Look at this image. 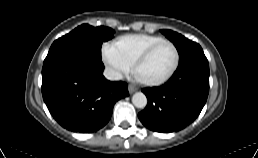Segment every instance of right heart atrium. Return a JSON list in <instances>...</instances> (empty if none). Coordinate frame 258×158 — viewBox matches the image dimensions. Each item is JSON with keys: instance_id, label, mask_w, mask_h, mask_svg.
<instances>
[{"instance_id": "1", "label": "right heart atrium", "mask_w": 258, "mask_h": 158, "mask_svg": "<svg viewBox=\"0 0 258 158\" xmlns=\"http://www.w3.org/2000/svg\"><path fill=\"white\" fill-rule=\"evenodd\" d=\"M105 59L111 67L118 71H126L128 69V65L123 61L112 46L107 49Z\"/></svg>"}]
</instances>
